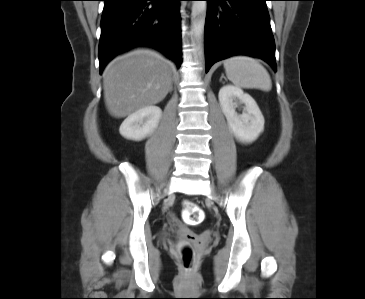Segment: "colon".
Wrapping results in <instances>:
<instances>
[{"instance_id": "5ec220e1", "label": "colon", "mask_w": 365, "mask_h": 299, "mask_svg": "<svg viewBox=\"0 0 365 299\" xmlns=\"http://www.w3.org/2000/svg\"><path fill=\"white\" fill-rule=\"evenodd\" d=\"M183 220L186 224L194 226L200 224L205 216L199 206L193 202H186L183 209ZM181 258L184 266L189 268L193 263V253L189 247H184L181 251Z\"/></svg>"}]
</instances>
